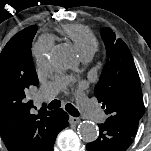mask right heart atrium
<instances>
[{"label":"right heart atrium","instance_id":"d8ad5b80","mask_svg":"<svg viewBox=\"0 0 151 151\" xmlns=\"http://www.w3.org/2000/svg\"><path fill=\"white\" fill-rule=\"evenodd\" d=\"M43 55H44V53L42 50H40V49L34 50V56L38 61L42 58Z\"/></svg>","mask_w":151,"mask_h":151}]
</instances>
